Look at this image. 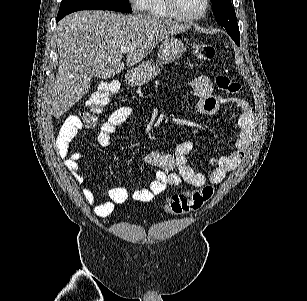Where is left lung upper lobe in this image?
Returning <instances> with one entry per match:
<instances>
[{"label": "left lung upper lobe", "instance_id": "left-lung-upper-lobe-1", "mask_svg": "<svg viewBox=\"0 0 307 301\" xmlns=\"http://www.w3.org/2000/svg\"><path fill=\"white\" fill-rule=\"evenodd\" d=\"M212 10L218 24L225 27L227 33L240 44V32L237 24L235 10L230 0H211Z\"/></svg>", "mask_w": 307, "mask_h": 301}]
</instances>
